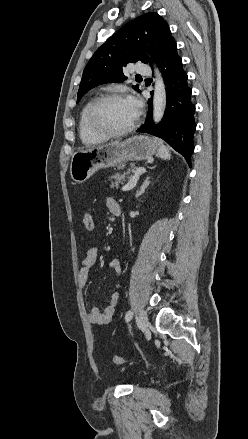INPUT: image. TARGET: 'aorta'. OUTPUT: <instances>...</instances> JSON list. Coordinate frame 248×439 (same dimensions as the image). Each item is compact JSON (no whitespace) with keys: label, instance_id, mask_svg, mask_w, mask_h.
Returning <instances> with one entry per match:
<instances>
[{"label":"aorta","instance_id":"1","mask_svg":"<svg viewBox=\"0 0 248 439\" xmlns=\"http://www.w3.org/2000/svg\"><path fill=\"white\" fill-rule=\"evenodd\" d=\"M155 89L153 97V119L157 123L159 122L165 111L166 107V91L162 76L158 69L155 70Z\"/></svg>","mask_w":248,"mask_h":439}]
</instances>
